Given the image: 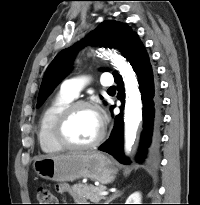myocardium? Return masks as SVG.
Returning a JSON list of instances; mask_svg holds the SVG:
<instances>
[{
  "label": "myocardium",
  "instance_id": "obj_1",
  "mask_svg": "<svg viewBox=\"0 0 200 205\" xmlns=\"http://www.w3.org/2000/svg\"><path fill=\"white\" fill-rule=\"evenodd\" d=\"M81 108H88L96 111L98 114V109L97 107L92 104L91 102L84 101V100H77V101H72L69 103L58 115L54 129H53V135L56 140V142L64 149L68 150H86V149H91L96 146H98L105 138L106 136V123L104 119L100 116L101 119V129L98 134V136L91 142L85 143V144H76L72 143L68 140L66 137L65 129L68 121L72 117V115Z\"/></svg>",
  "mask_w": 200,
  "mask_h": 205
}]
</instances>
